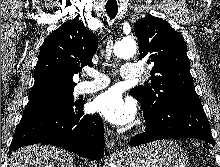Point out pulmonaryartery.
Listing matches in <instances>:
<instances>
[{
    "mask_svg": "<svg viewBox=\"0 0 220 167\" xmlns=\"http://www.w3.org/2000/svg\"><path fill=\"white\" fill-rule=\"evenodd\" d=\"M142 73L141 68L136 64L124 63L121 67V77L123 79H137ZM91 81L83 82L79 86V93L89 94L97 92L110 83V80L102 73L97 70H92L89 72Z\"/></svg>",
    "mask_w": 220,
    "mask_h": 167,
    "instance_id": "e3ab8cb5",
    "label": "pulmonary artery"
}]
</instances>
